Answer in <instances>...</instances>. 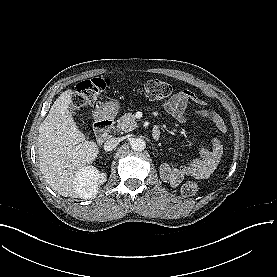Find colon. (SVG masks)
<instances>
[{"label":"colon","mask_w":277,"mask_h":277,"mask_svg":"<svg viewBox=\"0 0 277 277\" xmlns=\"http://www.w3.org/2000/svg\"><path fill=\"white\" fill-rule=\"evenodd\" d=\"M110 87L108 79H94L80 82L72 96V102L76 107L95 106L100 95ZM146 96L152 100H163L173 93L176 88L164 81L148 80L144 85ZM197 191V185L193 180L186 181L181 192L184 196H192Z\"/></svg>","instance_id":"obj_1"}]
</instances>
